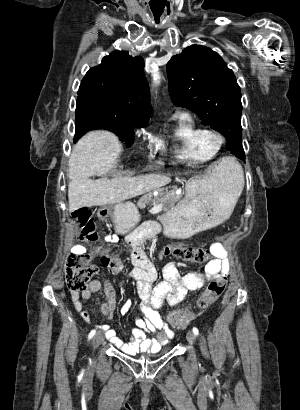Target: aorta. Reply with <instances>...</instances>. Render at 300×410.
Masks as SVG:
<instances>
[{"label": "aorta", "mask_w": 300, "mask_h": 410, "mask_svg": "<svg viewBox=\"0 0 300 410\" xmlns=\"http://www.w3.org/2000/svg\"><path fill=\"white\" fill-rule=\"evenodd\" d=\"M159 79H160L159 74H158V73H154V74H153V80H154L155 84H158Z\"/></svg>", "instance_id": "762f6f07"}]
</instances>
